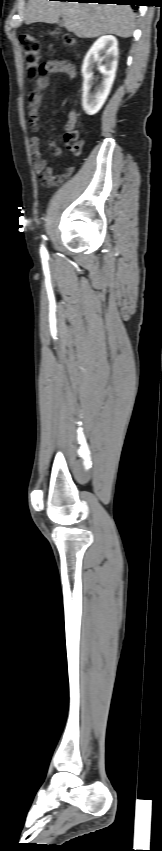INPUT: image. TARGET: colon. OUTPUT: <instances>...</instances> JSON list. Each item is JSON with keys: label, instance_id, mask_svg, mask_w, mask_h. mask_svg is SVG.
<instances>
[{"label": "colon", "instance_id": "obj_1", "mask_svg": "<svg viewBox=\"0 0 162 851\" xmlns=\"http://www.w3.org/2000/svg\"><path fill=\"white\" fill-rule=\"evenodd\" d=\"M20 46L21 52L25 64V72L26 76L30 80L36 79L43 71V65L40 64V45L38 39L31 33H24L20 36ZM64 44L67 46H73L75 41L70 35H65L63 37ZM68 135L76 142L74 144V149H79L81 147V140L78 138L77 132L74 130L73 122L68 123ZM61 176H54V183L61 182Z\"/></svg>", "mask_w": 162, "mask_h": 851}]
</instances>
